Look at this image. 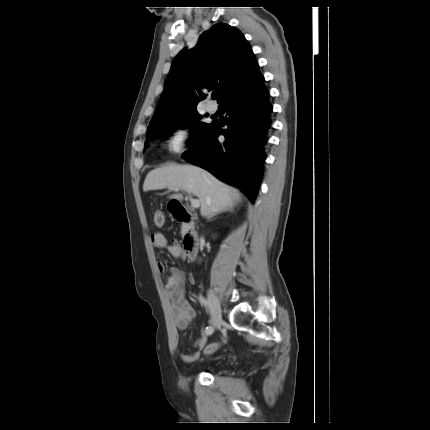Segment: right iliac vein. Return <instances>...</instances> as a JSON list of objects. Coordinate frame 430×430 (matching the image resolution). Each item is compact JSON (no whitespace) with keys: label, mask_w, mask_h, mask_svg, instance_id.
Segmentation results:
<instances>
[{"label":"right iliac vein","mask_w":430,"mask_h":430,"mask_svg":"<svg viewBox=\"0 0 430 430\" xmlns=\"http://www.w3.org/2000/svg\"><path fill=\"white\" fill-rule=\"evenodd\" d=\"M208 302L211 312V323L214 327L219 328L222 322V318L215 307V297L212 291H208Z\"/></svg>","instance_id":"right-iliac-vein-1"}]
</instances>
